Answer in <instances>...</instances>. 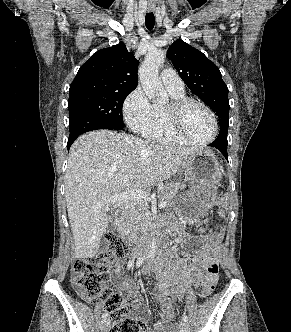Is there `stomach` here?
I'll return each instance as SVG.
<instances>
[{
    "label": "stomach",
    "mask_w": 291,
    "mask_h": 332,
    "mask_svg": "<svg viewBox=\"0 0 291 332\" xmlns=\"http://www.w3.org/2000/svg\"><path fill=\"white\" fill-rule=\"evenodd\" d=\"M184 175L194 184L181 199L195 214L207 210L213 203L217 184L222 178V168L215 154L209 149L190 155L182 164Z\"/></svg>",
    "instance_id": "0dacf381"
}]
</instances>
